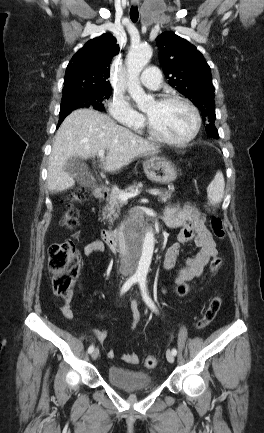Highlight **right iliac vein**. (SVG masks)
I'll return each mask as SVG.
<instances>
[{
  "instance_id": "right-iliac-vein-1",
  "label": "right iliac vein",
  "mask_w": 264,
  "mask_h": 433,
  "mask_svg": "<svg viewBox=\"0 0 264 433\" xmlns=\"http://www.w3.org/2000/svg\"><path fill=\"white\" fill-rule=\"evenodd\" d=\"M98 356H99V349H98V348H95V349L93 350V352L91 353V358H92L93 360H96Z\"/></svg>"
}]
</instances>
